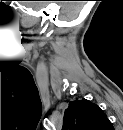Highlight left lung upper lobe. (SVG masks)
<instances>
[{"label": "left lung upper lobe", "instance_id": "1", "mask_svg": "<svg viewBox=\"0 0 123 130\" xmlns=\"http://www.w3.org/2000/svg\"><path fill=\"white\" fill-rule=\"evenodd\" d=\"M64 130H112V124L101 108L89 100H75L65 110Z\"/></svg>", "mask_w": 123, "mask_h": 130}]
</instances>
